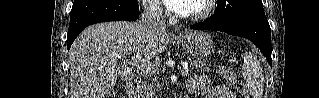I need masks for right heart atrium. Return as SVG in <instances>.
<instances>
[{"mask_svg": "<svg viewBox=\"0 0 319 98\" xmlns=\"http://www.w3.org/2000/svg\"><path fill=\"white\" fill-rule=\"evenodd\" d=\"M147 12L155 17L163 15V9L157 1H153L147 5Z\"/></svg>", "mask_w": 319, "mask_h": 98, "instance_id": "1", "label": "right heart atrium"}]
</instances>
